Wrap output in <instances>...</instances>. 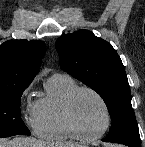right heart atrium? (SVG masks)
<instances>
[{"mask_svg": "<svg viewBox=\"0 0 145 147\" xmlns=\"http://www.w3.org/2000/svg\"><path fill=\"white\" fill-rule=\"evenodd\" d=\"M30 86H28L27 88H25L24 90H23V92H22V94H21V103H23L25 100H26V98L28 97V95H29V92H30Z\"/></svg>", "mask_w": 145, "mask_h": 147, "instance_id": "1", "label": "right heart atrium"}]
</instances>
